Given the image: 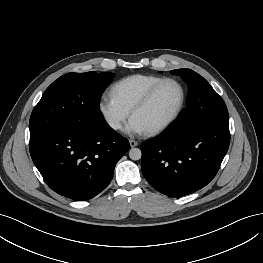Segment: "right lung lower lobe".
<instances>
[{
	"label": "right lung lower lobe",
	"instance_id": "right-lung-lower-lobe-1",
	"mask_svg": "<svg viewBox=\"0 0 263 263\" xmlns=\"http://www.w3.org/2000/svg\"><path fill=\"white\" fill-rule=\"evenodd\" d=\"M32 160L47 185L74 200H88L110 182L129 142L103 120L59 127L30 140Z\"/></svg>",
	"mask_w": 263,
	"mask_h": 263
}]
</instances>
